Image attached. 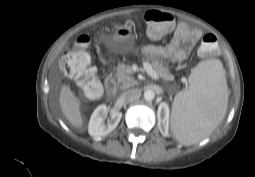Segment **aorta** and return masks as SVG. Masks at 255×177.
Here are the masks:
<instances>
[{
	"label": "aorta",
	"mask_w": 255,
	"mask_h": 177,
	"mask_svg": "<svg viewBox=\"0 0 255 177\" xmlns=\"http://www.w3.org/2000/svg\"><path fill=\"white\" fill-rule=\"evenodd\" d=\"M155 97V93L153 90L151 89H148V90H145L144 92V98L146 101H152Z\"/></svg>",
	"instance_id": "obj_1"
}]
</instances>
